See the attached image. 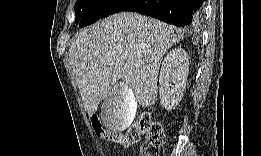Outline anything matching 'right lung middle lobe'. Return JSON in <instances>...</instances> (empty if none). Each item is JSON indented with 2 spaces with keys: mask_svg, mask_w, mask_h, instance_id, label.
<instances>
[{
  "mask_svg": "<svg viewBox=\"0 0 261 156\" xmlns=\"http://www.w3.org/2000/svg\"><path fill=\"white\" fill-rule=\"evenodd\" d=\"M124 0H77L74 7L75 22L85 27L105 17L118 8Z\"/></svg>",
  "mask_w": 261,
  "mask_h": 156,
  "instance_id": "dd1d6c3e",
  "label": "right lung middle lobe"
}]
</instances>
